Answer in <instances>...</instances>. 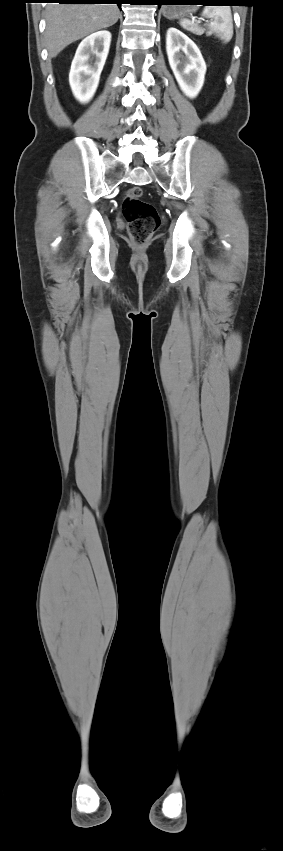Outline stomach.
I'll return each instance as SVG.
<instances>
[{
  "label": "stomach",
  "mask_w": 283,
  "mask_h": 851,
  "mask_svg": "<svg viewBox=\"0 0 283 851\" xmlns=\"http://www.w3.org/2000/svg\"><path fill=\"white\" fill-rule=\"evenodd\" d=\"M179 2L183 4H197L198 1L180 0ZM197 7L196 5H167L162 8V13L168 19L184 18L195 12Z\"/></svg>",
  "instance_id": "1"
}]
</instances>
